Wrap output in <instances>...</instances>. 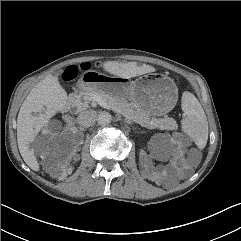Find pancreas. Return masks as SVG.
I'll list each match as a JSON object with an SVG mask.
<instances>
[{
    "label": "pancreas",
    "instance_id": "pancreas-1",
    "mask_svg": "<svg viewBox=\"0 0 241 241\" xmlns=\"http://www.w3.org/2000/svg\"><path fill=\"white\" fill-rule=\"evenodd\" d=\"M98 99L106 102L110 107L114 108L119 114L140 124L148 129H175L177 123L173 118L164 117L159 119H150L149 114L137 108L133 103L125 100L116 99L108 94H104L94 90L81 91L72 97V103L78 109H85L90 102Z\"/></svg>",
    "mask_w": 241,
    "mask_h": 241
}]
</instances>
